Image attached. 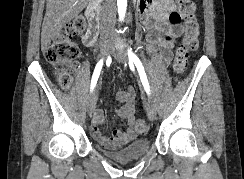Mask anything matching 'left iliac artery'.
I'll return each mask as SVG.
<instances>
[{
    "label": "left iliac artery",
    "instance_id": "44dca946",
    "mask_svg": "<svg viewBox=\"0 0 244 179\" xmlns=\"http://www.w3.org/2000/svg\"><path fill=\"white\" fill-rule=\"evenodd\" d=\"M128 57H129V62H134L135 66L137 67L144 89L148 94H150V86L148 83L146 73L144 71V67L141 61L139 60V58L133 53L131 48L128 49Z\"/></svg>",
    "mask_w": 244,
    "mask_h": 179
}]
</instances>
